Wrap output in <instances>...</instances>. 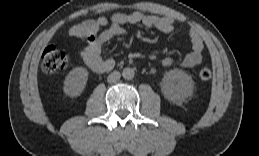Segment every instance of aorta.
Masks as SVG:
<instances>
[{
    "label": "aorta",
    "instance_id": "obj_1",
    "mask_svg": "<svg viewBox=\"0 0 259 156\" xmlns=\"http://www.w3.org/2000/svg\"><path fill=\"white\" fill-rule=\"evenodd\" d=\"M122 76L126 80H131L135 76V71L133 68H124L122 71Z\"/></svg>",
    "mask_w": 259,
    "mask_h": 156
}]
</instances>
